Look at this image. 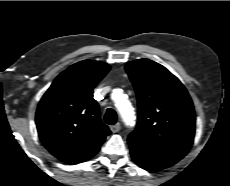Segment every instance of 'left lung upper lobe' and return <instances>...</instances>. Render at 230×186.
Instances as JSON below:
<instances>
[{
	"label": "left lung upper lobe",
	"mask_w": 230,
	"mask_h": 186,
	"mask_svg": "<svg viewBox=\"0 0 230 186\" xmlns=\"http://www.w3.org/2000/svg\"><path fill=\"white\" fill-rule=\"evenodd\" d=\"M138 99V123L128 136L137 150L182 159L195 135V112L184 85L164 66L149 59L126 64Z\"/></svg>",
	"instance_id": "left-lung-upper-lobe-1"
}]
</instances>
